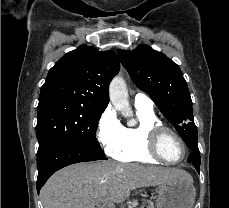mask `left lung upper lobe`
<instances>
[{"instance_id": "left-lung-upper-lobe-1", "label": "left lung upper lobe", "mask_w": 229, "mask_h": 208, "mask_svg": "<svg viewBox=\"0 0 229 208\" xmlns=\"http://www.w3.org/2000/svg\"><path fill=\"white\" fill-rule=\"evenodd\" d=\"M118 56L138 88L148 93L183 139L197 138L192 100L179 66L147 45Z\"/></svg>"}]
</instances>
